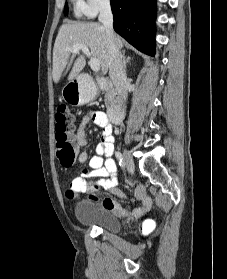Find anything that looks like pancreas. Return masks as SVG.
Masks as SVG:
<instances>
[{
  "label": "pancreas",
  "mask_w": 227,
  "mask_h": 279,
  "mask_svg": "<svg viewBox=\"0 0 227 279\" xmlns=\"http://www.w3.org/2000/svg\"><path fill=\"white\" fill-rule=\"evenodd\" d=\"M115 102V92L112 85H107L105 88V104L110 106Z\"/></svg>",
  "instance_id": "1"
}]
</instances>
